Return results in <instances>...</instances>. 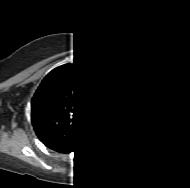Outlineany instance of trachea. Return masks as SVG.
<instances>
[{
  "label": "trachea",
  "instance_id": "3493384b",
  "mask_svg": "<svg viewBox=\"0 0 190 188\" xmlns=\"http://www.w3.org/2000/svg\"><path fill=\"white\" fill-rule=\"evenodd\" d=\"M89 113L93 116H102L103 111L98 104H93L89 109Z\"/></svg>",
  "mask_w": 190,
  "mask_h": 188
}]
</instances>
